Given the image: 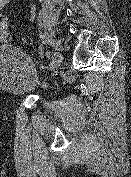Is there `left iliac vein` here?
<instances>
[{
	"mask_svg": "<svg viewBox=\"0 0 131 177\" xmlns=\"http://www.w3.org/2000/svg\"><path fill=\"white\" fill-rule=\"evenodd\" d=\"M54 46H55L56 51L52 57L53 63L50 64V67H49V70L51 72H54L55 70H57L62 62V55L60 53L61 46L58 42H54Z\"/></svg>",
	"mask_w": 131,
	"mask_h": 177,
	"instance_id": "left-iliac-vein-1",
	"label": "left iliac vein"
}]
</instances>
